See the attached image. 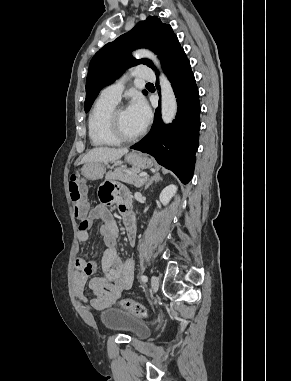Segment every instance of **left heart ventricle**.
I'll return each mask as SVG.
<instances>
[{
    "mask_svg": "<svg viewBox=\"0 0 291 381\" xmlns=\"http://www.w3.org/2000/svg\"><path fill=\"white\" fill-rule=\"evenodd\" d=\"M118 122L121 132L126 136H134L142 130L128 109H124L119 113Z\"/></svg>",
    "mask_w": 291,
    "mask_h": 381,
    "instance_id": "obj_1",
    "label": "left heart ventricle"
}]
</instances>
